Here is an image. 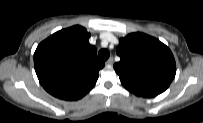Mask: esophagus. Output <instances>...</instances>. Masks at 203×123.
Returning a JSON list of instances; mask_svg holds the SVG:
<instances>
[{"label": "esophagus", "instance_id": "34e87169", "mask_svg": "<svg viewBox=\"0 0 203 123\" xmlns=\"http://www.w3.org/2000/svg\"><path fill=\"white\" fill-rule=\"evenodd\" d=\"M113 63H114L113 57H110V58L106 61V64H107V65H113Z\"/></svg>", "mask_w": 203, "mask_h": 123}]
</instances>
